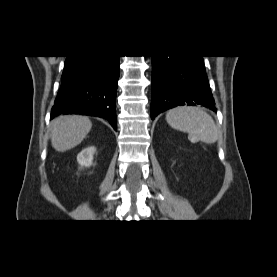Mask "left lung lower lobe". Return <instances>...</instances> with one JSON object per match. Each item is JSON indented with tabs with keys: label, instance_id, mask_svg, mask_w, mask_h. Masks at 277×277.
Masks as SVG:
<instances>
[{
	"label": "left lung lower lobe",
	"instance_id": "0a47b994",
	"mask_svg": "<svg viewBox=\"0 0 277 277\" xmlns=\"http://www.w3.org/2000/svg\"><path fill=\"white\" fill-rule=\"evenodd\" d=\"M151 118L180 105L216 111L203 56H152Z\"/></svg>",
	"mask_w": 277,
	"mask_h": 277
}]
</instances>
